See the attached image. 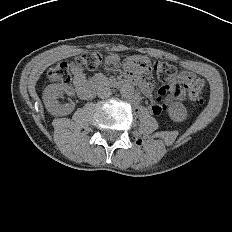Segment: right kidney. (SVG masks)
Segmentation results:
<instances>
[{
  "label": "right kidney",
  "mask_w": 232,
  "mask_h": 232,
  "mask_svg": "<svg viewBox=\"0 0 232 232\" xmlns=\"http://www.w3.org/2000/svg\"><path fill=\"white\" fill-rule=\"evenodd\" d=\"M62 94L72 96L75 94L74 88L67 84H50L44 89L43 103L47 111L53 116H67L75 109L74 102L61 104L57 101V98Z\"/></svg>",
  "instance_id": "obj_1"
}]
</instances>
